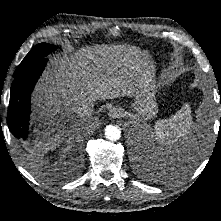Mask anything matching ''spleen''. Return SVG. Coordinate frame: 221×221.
<instances>
[{"instance_id": "1", "label": "spleen", "mask_w": 221, "mask_h": 221, "mask_svg": "<svg viewBox=\"0 0 221 221\" xmlns=\"http://www.w3.org/2000/svg\"><path fill=\"white\" fill-rule=\"evenodd\" d=\"M195 125L189 104L165 120H158L153 128V136L164 147V153L178 151L191 138Z\"/></svg>"}]
</instances>
